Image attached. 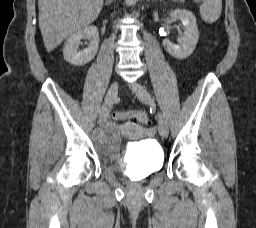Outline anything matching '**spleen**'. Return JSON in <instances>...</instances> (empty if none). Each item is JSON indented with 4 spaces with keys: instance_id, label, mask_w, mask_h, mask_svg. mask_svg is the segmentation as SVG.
I'll return each mask as SVG.
<instances>
[{
    "instance_id": "3e777b00",
    "label": "spleen",
    "mask_w": 256,
    "mask_h": 228,
    "mask_svg": "<svg viewBox=\"0 0 256 228\" xmlns=\"http://www.w3.org/2000/svg\"><path fill=\"white\" fill-rule=\"evenodd\" d=\"M221 11L222 0H203L202 5L200 6L201 18L209 24H212L219 19Z\"/></svg>"
}]
</instances>
